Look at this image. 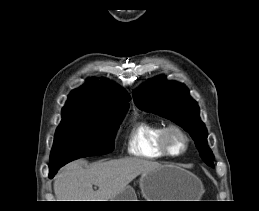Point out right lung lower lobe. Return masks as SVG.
I'll use <instances>...</instances> for the list:
<instances>
[{"label":"right lung lower lobe","instance_id":"obj_1","mask_svg":"<svg viewBox=\"0 0 259 211\" xmlns=\"http://www.w3.org/2000/svg\"><path fill=\"white\" fill-rule=\"evenodd\" d=\"M58 169H59V168L50 169L49 177L52 178V177L55 175V173L57 172Z\"/></svg>","mask_w":259,"mask_h":211}]
</instances>
